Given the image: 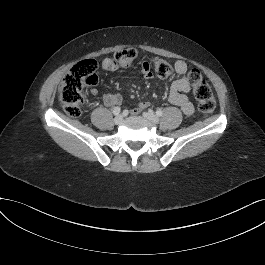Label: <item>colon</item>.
<instances>
[{
  "mask_svg": "<svg viewBox=\"0 0 265 265\" xmlns=\"http://www.w3.org/2000/svg\"><path fill=\"white\" fill-rule=\"evenodd\" d=\"M137 52L133 48H126L116 52L112 61L120 67H129L135 60ZM97 63L93 59H85L77 62L64 76L58 97L64 111L71 117H78L83 106V89L93 86L98 82L96 74ZM153 69L160 78L170 77L174 69L166 60L156 58L153 61ZM188 81L193 89L199 111L208 116L215 109V98L210 85L202 77L197 69H192L188 74Z\"/></svg>",
  "mask_w": 265,
  "mask_h": 265,
  "instance_id": "colon-1",
  "label": "colon"
}]
</instances>
